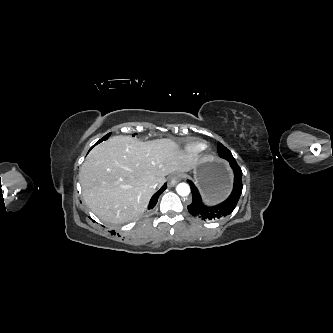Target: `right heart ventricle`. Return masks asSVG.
<instances>
[{"label":"right heart ventricle","mask_w":333,"mask_h":333,"mask_svg":"<svg viewBox=\"0 0 333 333\" xmlns=\"http://www.w3.org/2000/svg\"><path fill=\"white\" fill-rule=\"evenodd\" d=\"M206 145L203 142H192L186 145L185 151L191 155L198 154L205 149Z\"/></svg>","instance_id":"e07e8e85"}]
</instances>
